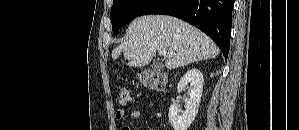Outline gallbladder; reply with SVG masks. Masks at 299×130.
Instances as JSON below:
<instances>
[{"label": "gallbladder", "instance_id": "gallbladder-1", "mask_svg": "<svg viewBox=\"0 0 299 130\" xmlns=\"http://www.w3.org/2000/svg\"><path fill=\"white\" fill-rule=\"evenodd\" d=\"M163 67V65L161 64V63H153L152 64V68L154 69V70H159V69H161Z\"/></svg>", "mask_w": 299, "mask_h": 130}]
</instances>
